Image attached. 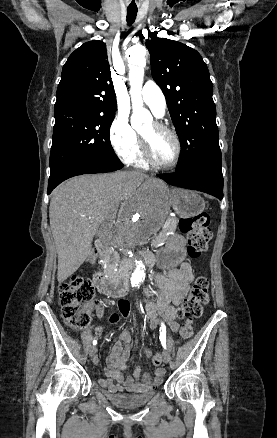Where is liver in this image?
I'll use <instances>...</instances> for the list:
<instances>
[{
  "mask_svg": "<svg viewBox=\"0 0 277 438\" xmlns=\"http://www.w3.org/2000/svg\"><path fill=\"white\" fill-rule=\"evenodd\" d=\"M145 178L142 172L85 174L70 178L53 190L49 218L58 254L59 284L85 262L95 234L114 224L122 200V205H129V189L139 188ZM121 209L122 206L120 220Z\"/></svg>",
  "mask_w": 277,
  "mask_h": 438,
  "instance_id": "obj_1",
  "label": "liver"
}]
</instances>
